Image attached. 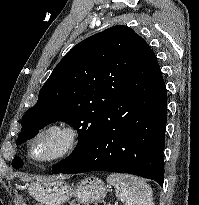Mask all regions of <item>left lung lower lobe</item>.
Here are the masks:
<instances>
[{
  "label": "left lung lower lobe",
  "instance_id": "left-lung-lower-lobe-1",
  "mask_svg": "<svg viewBox=\"0 0 199 205\" xmlns=\"http://www.w3.org/2000/svg\"><path fill=\"white\" fill-rule=\"evenodd\" d=\"M167 91L155 54L145 42L121 95L104 115L84 154L60 173H129L164 182Z\"/></svg>",
  "mask_w": 199,
  "mask_h": 205
}]
</instances>
